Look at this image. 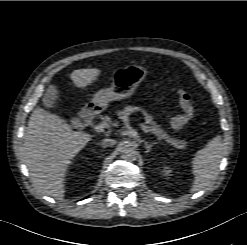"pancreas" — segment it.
Masks as SVG:
<instances>
[{"label":"pancreas","instance_id":"obj_1","mask_svg":"<svg viewBox=\"0 0 247 245\" xmlns=\"http://www.w3.org/2000/svg\"><path fill=\"white\" fill-rule=\"evenodd\" d=\"M136 110L135 107L126 106L123 110L117 111L118 118L121 120H127L129 116ZM148 130L154 134L159 140H164L176 149H185L187 147V142L185 140H180L169 136L158 124L151 120L150 126L147 127Z\"/></svg>","mask_w":247,"mask_h":245}]
</instances>
